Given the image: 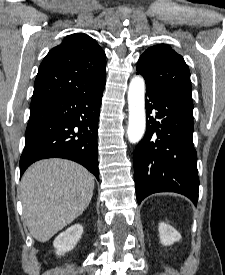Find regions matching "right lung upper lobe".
Returning a JSON list of instances; mask_svg holds the SVG:
<instances>
[{"label": "right lung upper lobe", "mask_w": 225, "mask_h": 275, "mask_svg": "<svg viewBox=\"0 0 225 275\" xmlns=\"http://www.w3.org/2000/svg\"><path fill=\"white\" fill-rule=\"evenodd\" d=\"M105 58L102 48L88 35L75 33L65 37L42 61L31 105L96 90L106 76Z\"/></svg>", "instance_id": "1"}]
</instances>
